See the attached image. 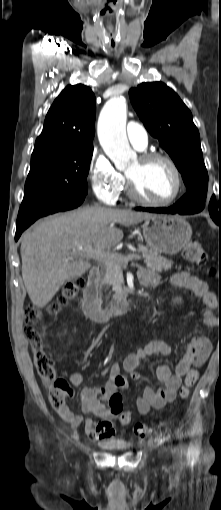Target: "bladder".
I'll return each mask as SVG.
<instances>
[{
	"instance_id": "31cf9c89",
	"label": "bladder",
	"mask_w": 221,
	"mask_h": 510,
	"mask_svg": "<svg viewBox=\"0 0 221 510\" xmlns=\"http://www.w3.org/2000/svg\"><path fill=\"white\" fill-rule=\"evenodd\" d=\"M108 450H127L129 446L120 442H105L102 444Z\"/></svg>"
}]
</instances>
